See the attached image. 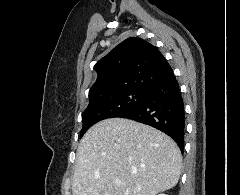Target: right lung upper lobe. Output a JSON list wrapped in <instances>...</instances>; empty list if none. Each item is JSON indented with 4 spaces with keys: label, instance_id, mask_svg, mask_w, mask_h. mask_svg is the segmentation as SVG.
I'll list each match as a JSON object with an SVG mask.
<instances>
[{
    "label": "right lung upper lobe",
    "instance_id": "obj_1",
    "mask_svg": "<svg viewBox=\"0 0 240 195\" xmlns=\"http://www.w3.org/2000/svg\"><path fill=\"white\" fill-rule=\"evenodd\" d=\"M95 69L98 78L89 91V99L122 90L147 92L174 75L157 47L135 37L117 45L97 62Z\"/></svg>",
    "mask_w": 240,
    "mask_h": 195
}]
</instances>
